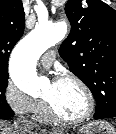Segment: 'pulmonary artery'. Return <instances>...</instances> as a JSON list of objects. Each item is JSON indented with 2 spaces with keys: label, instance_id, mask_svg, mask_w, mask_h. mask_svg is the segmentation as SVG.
I'll use <instances>...</instances> for the list:
<instances>
[{
  "label": "pulmonary artery",
  "instance_id": "e3ab8cb5",
  "mask_svg": "<svg viewBox=\"0 0 116 134\" xmlns=\"http://www.w3.org/2000/svg\"><path fill=\"white\" fill-rule=\"evenodd\" d=\"M55 59V51L51 50L42 56L41 63L44 67H50Z\"/></svg>",
  "mask_w": 116,
  "mask_h": 134
}]
</instances>
